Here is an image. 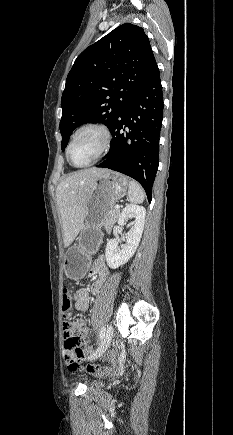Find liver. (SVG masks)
<instances>
[{
    "label": "liver",
    "mask_w": 233,
    "mask_h": 435,
    "mask_svg": "<svg viewBox=\"0 0 233 435\" xmlns=\"http://www.w3.org/2000/svg\"><path fill=\"white\" fill-rule=\"evenodd\" d=\"M107 169L88 168L73 172L56 189L62 221L64 247H69L83 226L86 204L98 176Z\"/></svg>",
    "instance_id": "liver-1"
}]
</instances>
